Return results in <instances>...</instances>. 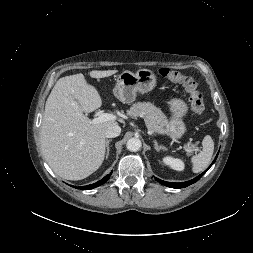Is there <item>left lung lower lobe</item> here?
Masks as SVG:
<instances>
[{"label": "left lung lower lobe", "mask_w": 253, "mask_h": 253, "mask_svg": "<svg viewBox=\"0 0 253 253\" xmlns=\"http://www.w3.org/2000/svg\"><path fill=\"white\" fill-rule=\"evenodd\" d=\"M216 158H217V157H216ZM216 158H215V160H216ZM215 160L213 161V163L215 162ZM213 163H212V164H213ZM212 164H211V165H212ZM211 165L209 166V168L211 167ZM209 168H208V169H209ZM208 169H207V170H208ZM207 170H205L202 174H200V175L197 176L196 178H194V179H192V180H190V181H187V182L172 183V182H166V181H163V180H160V179H158V181H159V183H161V184H163V185H165V186L171 187V188H184V187H187V186H189V185H191V184L197 182V181L203 176V174L206 173Z\"/></svg>", "instance_id": "left-lung-lower-lobe-1"}]
</instances>
